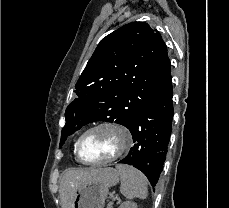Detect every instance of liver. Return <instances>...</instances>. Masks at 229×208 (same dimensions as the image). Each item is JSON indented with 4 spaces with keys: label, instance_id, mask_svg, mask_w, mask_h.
<instances>
[{
    "label": "liver",
    "instance_id": "6515ba94",
    "mask_svg": "<svg viewBox=\"0 0 229 208\" xmlns=\"http://www.w3.org/2000/svg\"><path fill=\"white\" fill-rule=\"evenodd\" d=\"M102 170L106 168H70L66 170L60 180L59 188L62 208H69L71 198L82 182L101 178Z\"/></svg>",
    "mask_w": 229,
    "mask_h": 208
}]
</instances>
